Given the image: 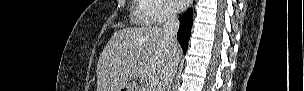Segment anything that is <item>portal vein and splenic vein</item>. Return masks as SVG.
<instances>
[{"label": "portal vein and splenic vein", "mask_w": 304, "mask_h": 91, "mask_svg": "<svg viewBox=\"0 0 304 91\" xmlns=\"http://www.w3.org/2000/svg\"><path fill=\"white\" fill-rule=\"evenodd\" d=\"M158 82H159V81H158L157 78H154V77L149 78V80H148V82H147V86L153 88V87H155V86L158 84Z\"/></svg>", "instance_id": "portal-vein-and-splenic-vein-1"}]
</instances>
